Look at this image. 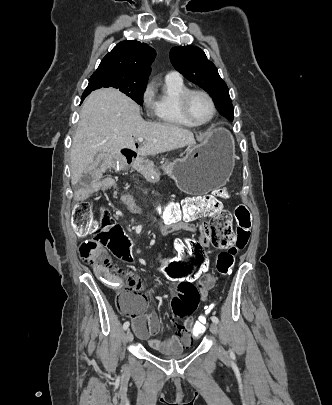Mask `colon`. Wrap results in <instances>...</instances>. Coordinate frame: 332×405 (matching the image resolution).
Instances as JSON below:
<instances>
[{
  "label": "colon",
  "instance_id": "colon-1",
  "mask_svg": "<svg viewBox=\"0 0 332 405\" xmlns=\"http://www.w3.org/2000/svg\"><path fill=\"white\" fill-rule=\"evenodd\" d=\"M228 197V190L220 189L214 195L188 197L166 206H158L156 199L149 201V206L156 208L158 214L166 219L212 212V220H203L198 234H182L179 242L181 256H170L169 262L162 264V272L167 273L171 282H181L186 287L190 281H204L208 249H226L217 255L216 269L222 275L231 272L236 253L244 249L250 240L252 222L249 210L242 205L234 210L235 227H232L231 213L216 211L220 208L219 198ZM73 225L78 234L90 237L79 245L81 260L103 273L108 282L119 289L120 297L129 298L112 268L110 257L134 255V248L130 247L123 227L113 221L107 209L97 208L85 200L78 201L73 207ZM124 260L128 265H134V260L129 257ZM212 314L211 307L198 313L192 324L190 342H201L205 325Z\"/></svg>",
  "mask_w": 332,
  "mask_h": 405
}]
</instances>
